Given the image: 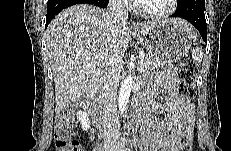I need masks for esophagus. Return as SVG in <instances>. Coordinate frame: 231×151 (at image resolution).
Here are the masks:
<instances>
[{
    "instance_id": "obj_1",
    "label": "esophagus",
    "mask_w": 231,
    "mask_h": 151,
    "mask_svg": "<svg viewBox=\"0 0 231 151\" xmlns=\"http://www.w3.org/2000/svg\"><path fill=\"white\" fill-rule=\"evenodd\" d=\"M130 25H131L132 28H138V26L132 20L130 21Z\"/></svg>"
}]
</instances>
